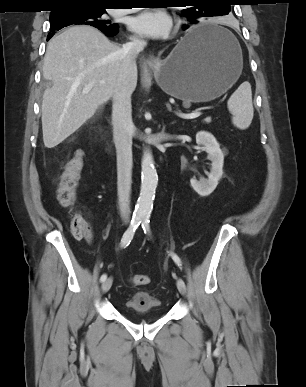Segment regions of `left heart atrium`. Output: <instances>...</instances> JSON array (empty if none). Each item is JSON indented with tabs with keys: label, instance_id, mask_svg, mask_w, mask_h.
Wrapping results in <instances>:
<instances>
[{
	"label": "left heart atrium",
	"instance_id": "obj_1",
	"mask_svg": "<svg viewBox=\"0 0 306 387\" xmlns=\"http://www.w3.org/2000/svg\"><path fill=\"white\" fill-rule=\"evenodd\" d=\"M131 31L149 38H162L167 36L172 28L169 15L159 10H145L129 20Z\"/></svg>",
	"mask_w": 306,
	"mask_h": 387
}]
</instances>
